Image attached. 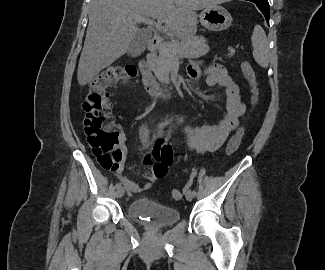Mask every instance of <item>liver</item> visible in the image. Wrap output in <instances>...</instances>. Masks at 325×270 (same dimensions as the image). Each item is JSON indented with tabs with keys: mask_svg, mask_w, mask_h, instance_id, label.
<instances>
[{
	"mask_svg": "<svg viewBox=\"0 0 325 270\" xmlns=\"http://www.w3.org/2000/svg\"><path fill=\"white\" fill-rule=\"evenodd\" d=\"M217 3L216 0H91L77 71L79 85L89 83L128 51L139 31L136 17L162 20L172 35L186 40L197 31L195 10Z\"/></svg>",
	"mask_w": 325,
	"mask_h": 270,
	"instance_id": "1",
	"label": "liver"
}]
</instances>
